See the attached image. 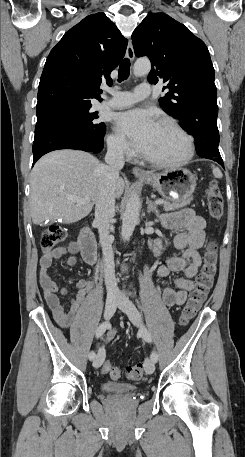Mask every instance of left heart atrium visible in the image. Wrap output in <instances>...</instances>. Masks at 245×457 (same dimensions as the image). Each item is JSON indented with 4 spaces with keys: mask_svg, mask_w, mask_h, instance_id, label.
Masks as SVG:
<instances>
[{
    "mask_svg": "<svg viewBox=\"0 0 245 457\" xmlns=\"http://www.w3.org/2000/svg\"><path fill=\"white\" fill-rule=\"evenodd\" d=\"M117 129L129 137L134 146L142 150L155 135L158 124L149 111L133 109L117 116Z\"/></svg>",
    "mask_w": 245,
    "mask_h": 457,
    "instance_id": "left-heart-atrium-1",
    "label": "left heart atrium"
}]
</instances>
